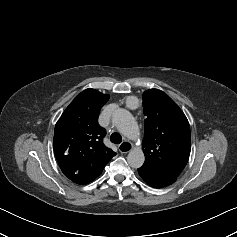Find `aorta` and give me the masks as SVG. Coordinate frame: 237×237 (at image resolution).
<instances>
[{"instance_id": "aorta-1", "label": "aorta", "mask_w": 237, "mask_h": 237, "mask_svg": "<svg viewBox=\"0 0 237 237\" xmlns=\"http://www.w3.org/2000/svg\"><path fill=\"white\" fill-rule=\"evenodd\" d=\"M112 122L128 139L135 140L139 137L138 125L129 111L121 108L116 110L113 114ZM144 161L145 155L141 148L132 149L127 156V162L132 168H140Z\"/></svg>"}]
</instances>
